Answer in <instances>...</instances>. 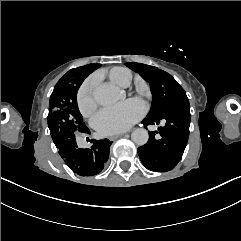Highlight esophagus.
I'll use <instances>...</instances> for the list:
<instances>
[{"label": "esophagus", "mask_w": 241, "mask_h": 241, "mask_svg": "<svg viewBox=\"0 0 241 241\" xmlns=\"http://www.w3.org/2000/svg\"><path fill=\"white\" fill-rule=\"evenodd\" d=\"M122 136H124V133H119V134L111 135V136L108 137V139H109L110 141H114V140H116V139H118V138H120V137H122Z\"/></svg>", "instance_id": "esophagus-1"}]
</instances>
